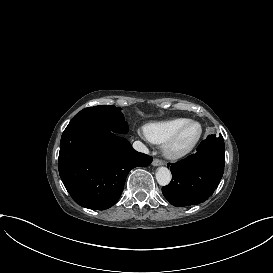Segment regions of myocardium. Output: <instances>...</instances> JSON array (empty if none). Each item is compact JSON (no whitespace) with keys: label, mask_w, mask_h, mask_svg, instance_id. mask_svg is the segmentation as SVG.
Listing matches in <instances>:
<instances>
[{"label":"myocardium","mask_w":273,"mask_h":273,"mask_svg":"<svg viewBox=\"0 0 273 273\" xmlns=\"http://www.w3.org/2000/svg\"><path fill=\"white\" fill-rule=\"evenodd\" d=\"M193 125L199 126V132L189 142H183L187 129ZM205 131L204 124L198 120H189L181 126L172 138L164 145V150L168 157L179 159L188 155L199 143Z\"/></svg>","instance_id":"obj_1"}]
</instances>
